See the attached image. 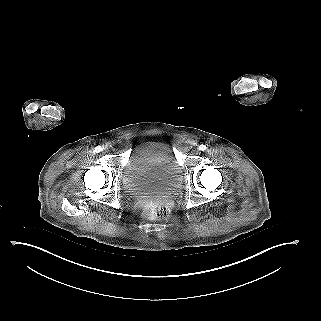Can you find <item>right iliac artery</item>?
Instances as JSON below:
<instances>
[{
	"label": "right iliac artery",
	"mask_w": 321,
	"mask_h": 321,
	"mask_svg": "<svg viewBox=\"0 0 321 321\" xmlns=\"http://www.w3.org/2000/svg\"><path fill=\"white\" fill-rule=\"evenodd\" d=\"M103 150V148L101 146H97L95 148V151L98 153V152H101Z\"/></svg>",
	"instance_id": "right-iliac-artery-1"
}]
</instances>
